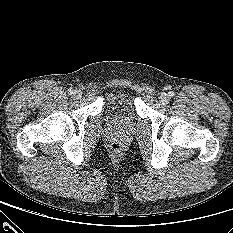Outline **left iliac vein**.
I'll return each instance as SVG.
<instances>
[{
  "label": "left iliac vein",
  "mask_w": 233,
  "mask_h": 233,
  "mask_svg": "<svg viewBox=\"0 0 233 233\" xmlns=\"http://www.w3.org/2000/svg\"><path fill=\"white\" fill-rule=\"evenodd\" d=\"M159 100L163 105H166L169 102V96L166 93H162L159 96Z\"/></svg>",
  "instance_id": "left-iliac-vein-1"
}]
</instances>
